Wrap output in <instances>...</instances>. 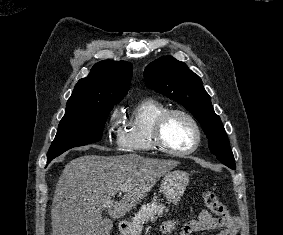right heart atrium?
<instances>
[{"label": "right heart atrium", "mask_w": 283, "mask_h": 235, "mask_svg": "<svg viewBox=\"0 0 283 235\" xmlns=\"http://www.w3.org/2000/svg\"><path fill=\"white\" fill-rule=\"evenodd\" d=\"M110 122H111V130L114 131V132H118L119 131V129H118L119 114L116 110L112 113Z\"/></svg>", "instance_id": "1"}]
</instances>
